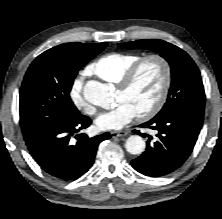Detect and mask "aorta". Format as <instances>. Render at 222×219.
Wrapping results in <instances>:
<instances>
[{
	"label": "aorta",
	"mask_w": 222,
	"mask_h": 219,
	"mask_svg": "<svg viewBox=\"0 0 222 219\" xmlns=\"http://www.w3.org/2000/svg\"><path fill=\"white\" fill-rule=\"evenodd\" d=\"M83 96L87 102L102 108H110L113 104V92L109 84L91 80L83 89ZM130 154L138 155L145 150V141L139 135L130 136L125 143Z\"/></svg>",
	"instance_id": "1"
}]
</instances>
